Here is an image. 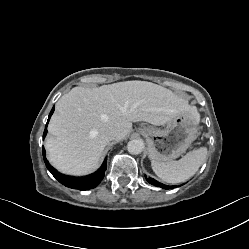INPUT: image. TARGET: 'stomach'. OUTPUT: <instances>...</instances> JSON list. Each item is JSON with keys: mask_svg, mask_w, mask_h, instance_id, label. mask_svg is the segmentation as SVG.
<instances>
[{"mask_svg": "<svg viewBox=\"0 0 249 249\" xmlns=\"http://www.w3.org/2000/svg\"><path fill=\"white\" fill-rule=\"evenodd\" d=\"M197 111H185L173 117L165 128L144 127L142 135L148 144V157L152 161L169 162L186 152L197 138L199 123Z\"/></svg>", "mask_w": 249, "mask_h": 249, "instance_id": "stomach-1", "label": "stomach"}]
</instances>
